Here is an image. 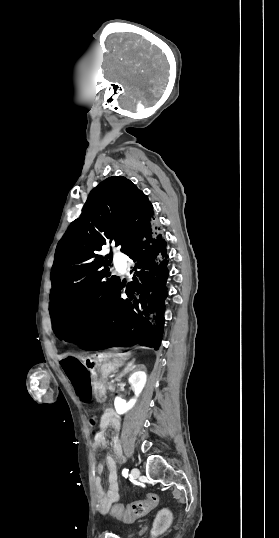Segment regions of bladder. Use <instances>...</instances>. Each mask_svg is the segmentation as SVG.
<instances>
[{"instance_id": "obj_1", "label": "bladder", "mask_w": 279, "mask_h": 538, "mask_svg": "<svg viewBox=\"0 0 279 538\" xmlns=\"http://www.w3.org/2000/svg\"><path fill=\"white\" fill-rule=\"evenodd\" d=\"M124 538H131V535L130 534H125Z\"/></svg>"}]
</instances>
